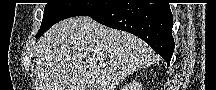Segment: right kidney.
<instances>
[{
	"instance_id": "right-kidney-1",
	"label": "right kidney",
	"mask_w": 216,
	"mask_h": 90,
	"mask_svg": "<svg viewBox=\"0 0 216 90\" xmlns=\"http://www.w3.org/2000/svg\"><path fill=\"white\" fill-rule=\"evenodd\" d=\"M140 88V86H139ZM127 90H133L132 86H128Z\"/></svg>"
}]
</instances>
